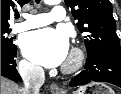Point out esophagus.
<instances>
[{"label":"esophagus","instance_id":"1","mask_svg":"<svg viewBox=\"0 0 121 94\" xmlns=\"http://www.w3.org/2000/svg\"><path fill=\"white\" fill-rule=\"evenodd\" d=\"M50 91L52 94H64V91L56 83L50 85Z\"/></svg>","mask_w":121,"mask_h":94}]
</instances>
